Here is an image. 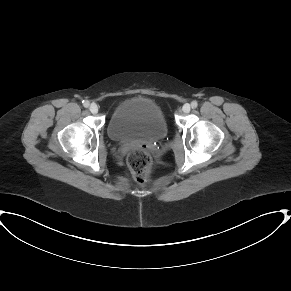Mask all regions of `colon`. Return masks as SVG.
Listing matches in <instances>:
<instances>
[{"label":"colon","mask_w":291,"mask_h":291,"mask_svg":"<svg viewBox=\"0 0 291 291\" xmlns=\"http://www.w3.org/2000/svg\"><path fill=\"white\" fill-rule=\"evenodd\" d=\"M127 163L135 181L144 184L149 181L151 176V157L144 148L132 150L127 156Z\"/></svg>","instance_id":"5ec220e1"}]
</instances>
